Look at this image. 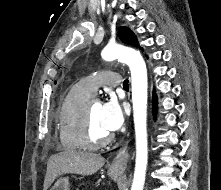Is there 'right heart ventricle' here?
I'll use <instances>...</instances> for the list:
<instances>
[{
	"label": "right heart ventricle",
	"mask_w": 221,
	"mask_h": 190,
	"mask_svg": "<svg viewBox=\"0 0 221 190\" xmlns=\"http://www.w3.org/2000/svg\"><path fill=\"white\" fill-rule=\"evenodd\" d=\"M91 94L80 83L72 86L63 98L57 115L59 140L67 151L84 150L82 120L85 104Z\"/></svg>",
	"instance_id": "1"
}]
</instances>
